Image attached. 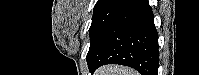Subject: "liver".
<instances>
[{"label":"liver","mask_w":199,"mask_h":75,"mask_svg":"<svg viewBox=\"0 0 199 75\" xmlns=\"http://www.w3.org/2000/svg\"><path fill=\"white\" fill-rule=\"evenodd\" d=\"M94 75H139V73L124 66L106 65L97 69Z\"/></svg>","instance_id":"1"}]
</instances>
